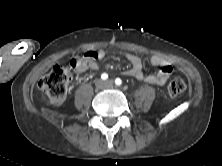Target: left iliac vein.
Returning <instances> with one entry per match:
<instances>
[{
  "instance_id": "1",
  "label": "left iliac vein",
  "mask_w": 222,
  "mask_h": 166,
  "mask_svg": "<svg viewBox=\"0 0 222 166\" xmlns=\"http://www.w3.org/2000/svg\"><path fill=\"white\" fill-rule=\"evenodd\" d=\"M105 84H106L107 86H112V85L114 84V82H113V80H107V81L105 82Z\"/></svg>"
}]
</instances>
